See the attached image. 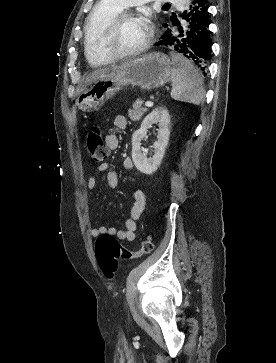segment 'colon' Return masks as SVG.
Masks as SVG:
<instances>
[{
	"label": "colon",
	"instance_id": "1",
	"mask_svg": "<svg viewBox=\"0 0 276 363\" xmlns=\"http://www.w3.org/2000/svg\"><path fill=\"white\" fill-rule=\"evenodd\" d=\"M88 152L94 162H104L108 156V150L104 143L101 129L92 126L87 134ZM153 243L150 235L141 242L137 251H131L122 246L112 235L100 234L95 243V254L100 270L105 277L111 279L118 270L120 259H131L151 253Z\"/></svg>",
	"mask_w": 276,
	"mask_h": 363
}]
</instances>
